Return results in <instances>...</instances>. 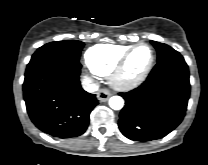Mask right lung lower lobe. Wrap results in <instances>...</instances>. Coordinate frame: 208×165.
<instances>
[{
  "instance_id": "98d812e1",
  "label": "right lung lower lobe",
  "mask_w": 208,
  "mask_h": 165,
  "mask_svg": "<svg viewBox=\"0 0 208 165\" xmlns=\"http://www.w3.org/2000/svg\"><path fill=\"white\" fill-rule=\"evenodd\" d=\"M80 68L79 60L64 53L27 65L23 96L31 121L41 131L60 138L86 131L98 99L81 88Z\"/></svg>"
}]
</instances>
